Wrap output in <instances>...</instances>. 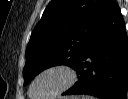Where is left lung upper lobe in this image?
Masks as SVG:
<instances>
[{"label": "left lung upper lobe", "instance_id": "obj_1", "mask_svg": "<svg viewBox=\"0 0 128 99\" xmlns=\"http://www.w3.org/2000/svg\"><path fill=\"white\" fill-rule=\"evenodd\" d=\"M107 3L108 0H52L26 49L24 85L49 67L65 64L73 68Z\"/></svg>", "mask_w": 128, "mask_h": 99}]
</instances>
